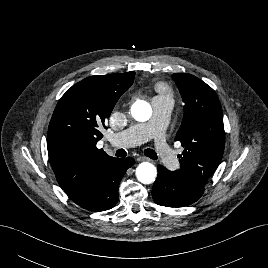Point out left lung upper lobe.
Here are the masks:
<instances>
[{"instance_id": "1", "label": "left lung upper lobe", "mask_w": 268, "mask_h": 268, "mask_svg": "<svg viewBox=\"0 0 268 268\" xmlns=\"http://www.w3.org/2000/svg\"><path fill=\"white\" fill-rule=\"evenodd\" d=\"M183 98L184 116L175 141L184 147L175 173L204 189L219 165L225 145L223 113L215 91L191 74L172 75Z\"/></svg>"}]
</instances>
